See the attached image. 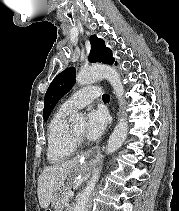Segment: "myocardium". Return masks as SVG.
<instances>
[{"label":"myocardium","instance_id":"myocardium-1","mask_svg":"<svg viewBox=\"0 0 179 211\" xmlns=\"http://www.w3.org/2000/svg\"><path fill=\"white\" fill-rule=\"evenodd\" d=\"M71 136H72V140H73V143L74 145L77 147H80L83 145V139H82V136L76 134L73 129H71Z\"/></svg>","mask_w":179,"mask_h":211}]
</instances>
